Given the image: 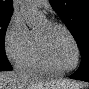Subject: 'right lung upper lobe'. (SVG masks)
Instances as JSON below:
<instances>
[{
    "mask_svg": "<svg viewBox=\"0 0 89 89\" xmlns=\"http://www.w3.org/2000/svg\"><path fill=\"white\" fill-rule=\"evenodd\" d=\"M0 10L13 11V0H0Z\"/></svg>",
    "mask_w": 89,
    "mask_h": 89,
    "instance_id": "cb5924a9",
    "label": "right lung upper lobe"
}]
</instances>
